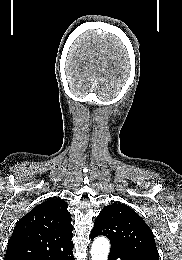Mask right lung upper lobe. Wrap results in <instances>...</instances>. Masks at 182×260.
I'll list each match as a JSON object with an SVG mask.
<instances>
[{
	"mask_svg": "<svg viewBox=\"0 0 182 260\" xmlns=\"http://www.w3.org/2000/svg\"><path fill=\"white\" fill-rule=\"evenodd\" d=\"M67 203L45 201L14 227L4 260H40L73 248V226Z\"/></svg>",
	"mask_w": 182,
	"mask_h": 260,
	"instance_id": "cb5924a9",
	"label": "right lung upper lobe"
}]
</instances>
